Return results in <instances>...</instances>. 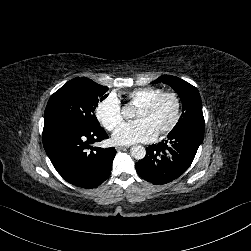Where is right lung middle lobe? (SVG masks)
<instances>
[{"label": "right lung middle lobe", "instance_id": "dd1d6c3e", "mask_svg": "<svg viewBox=\"0 0 251 251\" xmlns=\"http://www.w3.org/2000/svg\"><path fill=\"white\" fill-rule=\"evenodd\" d=\"M108 87L86 77H77L57 90L49 99L44 119H64L82 126L99 124L94 111L104 100Z\"/></svg>", "mask_w": 251, "mask_h": 251}]
</instances>
